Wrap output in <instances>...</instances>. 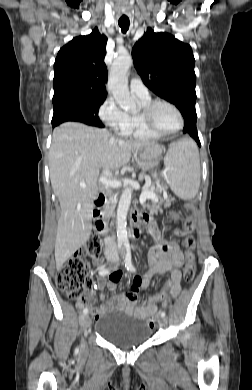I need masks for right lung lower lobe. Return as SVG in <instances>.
<instances>
[{
  "label": "right lung lower lobe",
  "mask_w": 252,
  "mask_h": 390,
  "mask_svg": "<svg viewBox=\"0 0 252 390\" xmlns=\"http://www.w3.org/2000/svg\"><path fill=\"white\" fill-rule=\"evenodd\" d=\"M57 125H59V124H56V125H52L53 127H55V126H57Z\"/></svg>",
  "instance_id": "right-lung-lower-lobe-1"
}]
</instances>
